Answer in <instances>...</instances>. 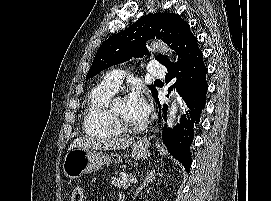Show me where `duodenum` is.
<instances>
[{
	"instance_id": "1",
	"label": "duodenum",
	"mask_w": 271,
	"mask_h": 201,
	"mask_svg": "<svg viewBox=\"0 0 271 201\" xmlns=\"http://www.w3.org/2000/svg\"><path fill=\"white\" fill-rule=\"evenodd\" d=\"M118 201H126V198L123 195H120Z\"/></svg>"
}]
</instances>
